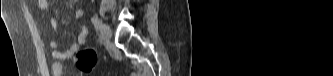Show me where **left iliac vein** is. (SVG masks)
I'll return each mask as SVG.
<instances>
[{
    "label": "left iliac vein",
    "instance_id": "4c4485c4",
    "mask_svg": "<svg viewBox=\"0 0 333 76\" xmlns=\"http://www.w3.org/2000/svg\"><path fill=\"white\" fill-rule=\"evenodd\" d=\"M100 33L104 41L108 42L111 40L112 31L107 24H101Z\"/></svg>",
    "mask_w": 333,
    "mask_h": 76
}]
</instances>
